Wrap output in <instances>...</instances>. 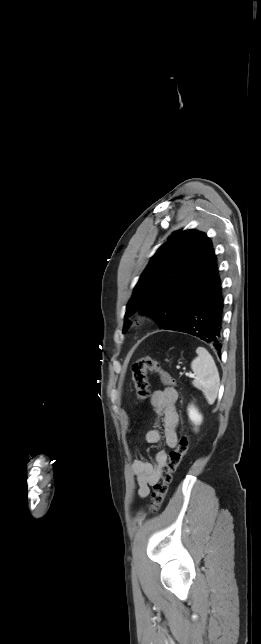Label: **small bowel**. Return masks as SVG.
<instances>
[{
	"label": "small bowel",
	"instance_id": "c3829d8e",
	"mask_svg": "<svg viewBox=\"0 0 261 644\" xmlns=\"http://www.w3.org/2000/svg\"><path fill=\"white\" fill-rule=\"evenodd\" d=\"M178 393L174 388L155 390L150 399L151 406L160 417L163 423V435L158 429H151L146 433V441L149 444L158 443L162 436L169 448H175L178 444L179 415L176 409ZM168 453L160 450L156 453L154 462H147L135 459L132 462V473L135 478L137 494L140 498H146L150 493V486L156 484L163 473L167 462Z\"/></svg>",
	"mask_w": 261,
	"mask_h": 644
}]
</instances>
